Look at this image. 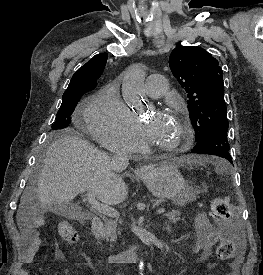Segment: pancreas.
<instances>
[{"label": "pancreas", "instance_id": "obj_1", "mask_svg": "<svg viewBox=\"0 0 263 275\" xmlns=\"http://www.w3.org/2000/svg\"><path fill=\"white\" fill-rule=\"evenodd\" d=\"M180 211L178 210H172L165 214V216L168 217V219L172 222H177L179 220ZM117 226L118 221L117 220H106L104 225L105 235L107 238H110V241L113 242L117 239ZM118 234H120V229H118Z\"/></svg>", "mask_w": 263, "mask_h": 275}]
</instances>
